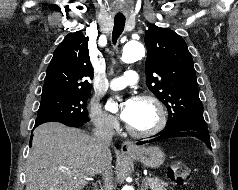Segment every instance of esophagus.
<instances>
[{
  "instance_id": "34e87169",
  "label": "esophagus",
  "mask_w": 238,
  "mask_h": 190,
  "mask_svg": "<svg viewBox=\"0 0 238 190\" xmlns=\"http://www.w3.org/2000/svg\"><path fill=\"white\" fill-rule=\"evenodd\" d=\"M121 151L123 153L136 151V146L132 141L126 140L121 145Z\"/></svg>"
}]
</instances>
